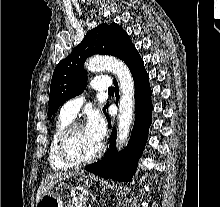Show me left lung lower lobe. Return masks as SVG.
I'll return each mask as SVG.
<instances>
[{"mask_svg":"<svg viewBox=\"0 0 220 207\" xmlns=\"http://www.w3.org/2000/svg\"><path fill=\"white\" fill-rule=\"evenodd\" d=\"M124 62L132 73L135 85L136 116L131 139L128 146L118 152L115 148L116 129L114 128L110 138V149L107 150L105 157L86 167V170L106 179L127 182L136 170L137 161L147 141L148 129L151 124L152 102L148 74L135 47ZM116 90L118 92V87ZM106 117L110 124L107 114Z\"/></svg>","mask_w":220,"mask_h":207,"instance_id":"obj_1","label":"left lung lower lobe"}]
</instances>
